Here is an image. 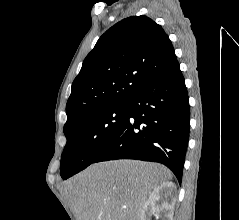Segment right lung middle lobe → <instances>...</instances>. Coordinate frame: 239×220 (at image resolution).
<instances>
[{
  "instance_id": "obj_1",
  "label": "right lung middle lobe",
  "mask_w": 239,
  "mask_h": 220,
  "mask_svg": "<svg viewBox=\"0 0 239 220\" xmlns=\"http://www.w3.org/2000/svg\"><path fill=\"white\" fill-rule=\"evenodd\" d=\"M127 117L126 103L90 112L64 128L60 175L67 179L94 162Z\"/></svg>"
}]
</instances>
